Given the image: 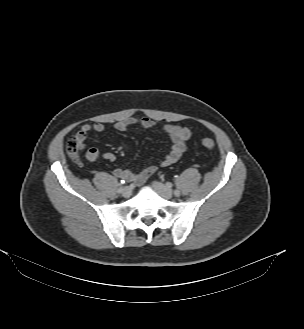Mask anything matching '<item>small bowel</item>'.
Instances as JSON below:
<instances>
[{"label":"small bowel","mask_w":304,"mask_h":329,"mask_svg":"<svg viewBox=\"0 0 304 329\" xmlns=\"http://www.w3.org/2000/svg\"><path fill=\"white\" fill-rule=\"evenodd\" d=\"M133 125H139L143 128H152L154 126V122L146 117L142 118H126L118 121L114 128L117 131H126ZM91 130H94L98 133H102L105 130V126L102 123H95L93 125L84 124L82 125L75 134V137L79 141L81 147L84 146V141L86 140L87 135ZM163 132L171 139L172 146L168 152V154L163 158L161 164L163 166H169L175 163L181 155L184 153L186 149V142L191 137V131L185 127H181L176 124H165L162 127ZM100 158H104L109 161L115 160V155L112 153H101L97 148H89L86 152V159L90 162H95ZM155 165H148L144 169L133 172L128 169H116L114 174L116 177L120 179H124L127 181H132L137 184H141L145 182L155 171Z\"/></svg>","instance_id":"c3829d8e"}]
</instances>
